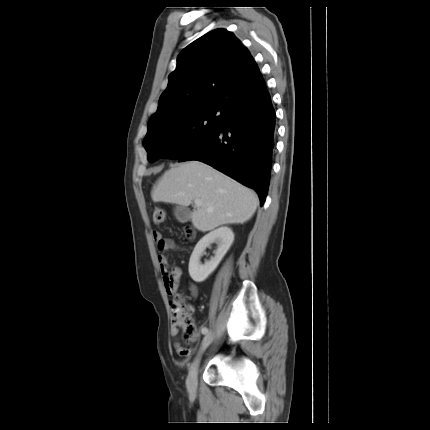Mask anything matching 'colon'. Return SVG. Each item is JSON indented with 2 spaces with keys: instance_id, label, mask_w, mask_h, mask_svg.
Masks as SVG:
<instances>
[{
  "instance_id": "5ec220e1",
  "label": "colon",
  "mask_w": 430,
  "mask_h": 430,
  "mask_svg": "<svg viewBox=\"0 0 430 430\" xmlns=\"http://www.w3.org/2000/svg\"><path fill=\"white\" fill-rule=\"evenodd\" d=\"M155 223L161 224L166 219V213L158 208L153 212ZM171 313L174 324L182 331L185 342L192 341L196 336V325L193 318V310L185 302L181 295H176L171 301Z\"/></svg>"
}]
</instances>
